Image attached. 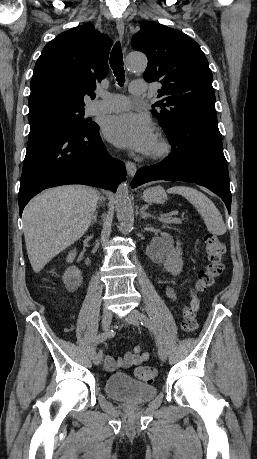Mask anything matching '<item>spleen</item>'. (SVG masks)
I'll return each instance as SVG.
<instances>
[{"instance_id":"spleen-1","label":"spleen","mask_w":257,"mask_h":459,"mask_svg":"<svg viewBox=\"0 0 257 459\" xmlns=\"http://www.w3.org/2000/svg\"><path fill=\"white\" fill-rule=\"evenodd\" d=\"M184 196L203 218L207 230L213 235H223L226 232L222 215L214 203L202 192L188 186H175L168 190Z\"/></svg>"}]
</instances>
